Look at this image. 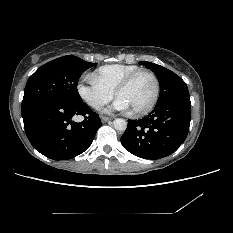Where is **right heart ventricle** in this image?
Segmentation results:
<instances>
[{
  "label": "right heart ventricle",
  "instance_id": "right-heart-ventricle-1",
  "mask_svg": "<svg viewBox=\"0 0 233 233\" xmlns=\"http://www.w3.org/2000/svg\"><path fill=\"white\" fill-rule=\"evenodd\" d=\"M140 69L136 65L110 64L100 67L90 75V79L114 92L128 75Z\"/></svg>",
  "mask_w": 233,
  "mask_h": 233
}]
</instances>
